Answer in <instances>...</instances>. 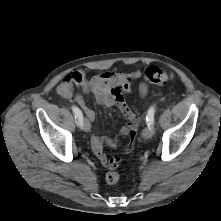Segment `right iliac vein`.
I'll return each mask as SVG.
<instances>
[{
	"mask_svg": "<svg viewBox=\"0 0 221 221\" xmlns=\"http://www.w3.org/2000/svg\"><path fill=\"white\" fill-rule=\"evenodd\" d=\"M82 127H83L84 131H86V132L90 131L91 125H90V122L87 118H84L82 120Z\"/></svg>",
	"mask_w": 221,
	"mask_h": 221,
	"instance_id": "right-iliac-vein-1",
	"label": "right iliac vein"
}]
</instances>
